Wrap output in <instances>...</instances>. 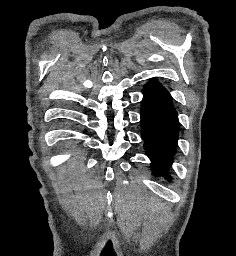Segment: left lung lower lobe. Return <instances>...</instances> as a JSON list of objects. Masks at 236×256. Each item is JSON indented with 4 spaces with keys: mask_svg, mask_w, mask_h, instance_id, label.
<instances>
[{
    "mask_svg": "<svg viewBox=\"0 0 236 256\" xmlns=\"http://www.w3.org/2000/svg\"><path fill=\"white\" fill-rule=\"evenodd\" d=\"M141 107L142 138L155 176L170 180L168 168L176 152L178 117L169 93L155 80L143 89Z\"/></svg>",
    "mask_w": 236,
    "mask_h": 256,
    "instance_id": "left-lung-lower-lobe-1",
    "label": "left lung lower lobe"
}]
</instances>
